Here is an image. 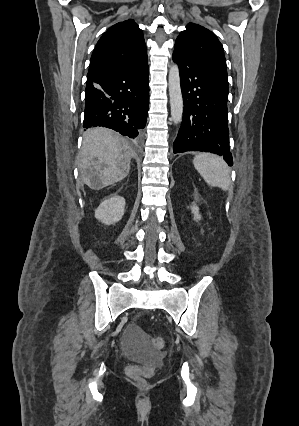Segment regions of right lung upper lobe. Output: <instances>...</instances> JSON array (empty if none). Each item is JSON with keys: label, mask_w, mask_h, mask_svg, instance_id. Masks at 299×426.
I'll return each instance as SVG.
<instances>
[{"label": "right lung upper lobe", "mask_w": 299, "mask_h": 426, "mask_svg": "<svg viewBox=\"0 0 299 426\" xmlns=\"http://www.w3.org/2000/svg\"><path fill=\"white\" fill-rule=\"evenodd\" d=\"M147 62L143 32L134 20L110 27L99 39L91 56L88 77L139 67Z\"/></svg>", "instance_id": "right-lung-upper-lobe-1"}]
</instances>
